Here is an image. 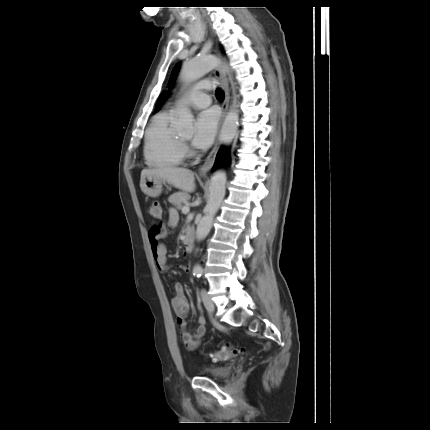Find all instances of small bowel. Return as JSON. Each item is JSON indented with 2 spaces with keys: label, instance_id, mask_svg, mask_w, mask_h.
Listing matches in <instances>:
<instances>
[{
  "label": "small bowel",
  "instance_id": "1",
  "mask_svg": "<svg viewBox=\"0 0 430 430\" xmlns=\"http://www.w3.org/2000/svg\"><path fill=\"white\" fill-rule=\"evenodd\" d=\"M168 224L171 227H174L178 224V214L174 209L170 210L169 212ZM166 235L167 229L163 224H154L151 226L148 233L149 243L155 265L162 273H165L169 269L166 263L167 249L162 242ZM184 270L188 271V266H184ZM174 291L175 294L171 300V305L176 313V323L182 330V343L188 351L193 352L199 347L201 340L205 335V318L200 316L197 321L198 326L194 332H187L186 317L190 311V306L188 304L184 289L180 284L175 285Z\"/></svg>",
  "mask_w": 430,
  "mask_h": 430
}]
</instances>
